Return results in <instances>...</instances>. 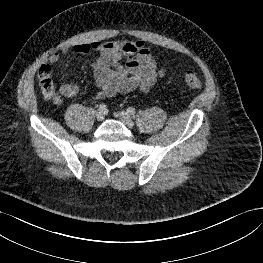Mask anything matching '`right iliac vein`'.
Here are the masks:
<instances>
[{
  "label": "right iliac vein",
  "instance_id": "1",
  "mask_svg": "<svg viewBox=\"0 0 263 263\" xmlns=\"http://www.w3.org/2000/svg\"><path fill=\"white\" fill-rule=\"evenodd\" d=\"M95 116H96V119H97L98 121H102V120L104 119V117H105V113H104L103 110H98V111L96 112Z\"/></svg>",
  "mask_w": 263,
  "mask_h": 263
}]
</instances>
